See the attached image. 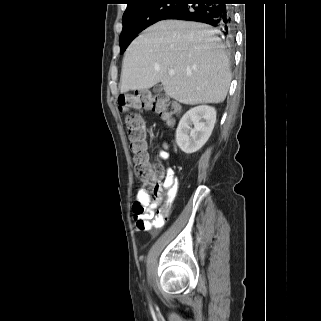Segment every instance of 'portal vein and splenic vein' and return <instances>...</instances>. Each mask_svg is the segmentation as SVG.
Wrapping results in <instances>:
<instances>
[{"instance_id": "obj_1", "label": "portal vein and splenic vein", "mask_w": 321, "mask_h": 321, "mask_svg": "<svg viewBox=\"0 0 321 321\" xmlns=\"http://www.w3.org/2000/svg\"><path fill=\"white\" fill-rule=\"evenodd\" d=\"M174 74H175V72H174L173 70H170V71H169V75H170V76H173Z\"/></svg>"}]
</instances>
